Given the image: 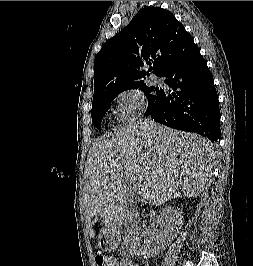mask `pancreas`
<instances>
[{
  "label": "pancreas",
  "mask_w": 253,
  "mask_h": 266,
  "mask_svg": "<svg viewBox=\"0 0 253 266\" xmlns=\"http://www.w3.org/2000/svg\"><path fill=\"white\" fill-rule=\"evenodd\" d=\"M136 213V211H133V214L129 213V216H134V214ZM131 219V218H130ZM132 220V219H131Z\"/></svg>",
  "instance_id": "cf45deb5"
}]
</instances>
